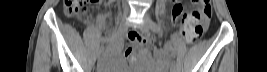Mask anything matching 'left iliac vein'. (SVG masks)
I'll list each match as a JSON object with an SVG mask.
<instances>
[{
	"instance_id": "4c4485c4",
	"label": "left iliac vein",
	"mask_w": 267,
	"mask_h": 72,
	"mask_svg": "<svg viewBox=\"0 0 267 72\" xmlns=\"http://www.w3.org/2000/svg\"><path fill=\"white\" fill-rule=\"evenodd\" d=\"M152 22L153 21L151 20L150 16L146 14L144 17V23L141 25V31L143 33H148L151 28ZM170 72H175V67L174 68L171 67Z\"/></svg>"
}]
</instances>
